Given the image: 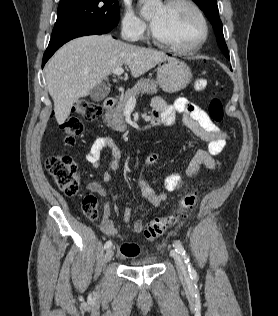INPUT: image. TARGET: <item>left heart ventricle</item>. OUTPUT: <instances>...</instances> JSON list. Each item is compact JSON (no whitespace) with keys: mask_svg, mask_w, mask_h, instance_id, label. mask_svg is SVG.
Listing matches in <instances>:
<instances>
[{"mask_svg":"<svg viewBox=\"0 0 278 316\" xmlns=\"http://www.w3.org/2000/svg\"><path fill=\"white\" fill-rule=\"evenodd\" d=\"M151 23L163 39L181 47L195 45L202 35V26L196 13L185 4L158 6Z\"/></svg>","mask_w":278,"mask_h":316,"instance_id":"left-heart-ventricle-1","label":"left heart ventricle"}]
</instances>
